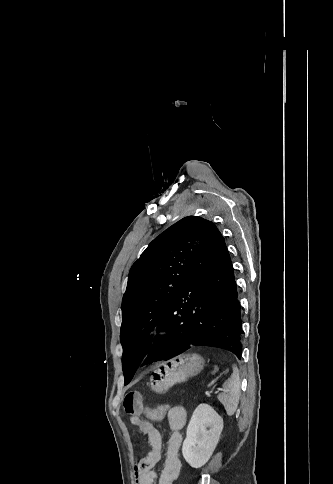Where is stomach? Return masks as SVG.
<instances>
[{"instance_id":"obj_1","label":"stomach","mask_w":333,"mask_h":484,"mask_svg":"<svg viewBox=\"0 0 333 484\" xmlns=\"http://www.w3.org/2000/svg\"><path fill=\"white\" fill-rule=\"evenodd\" d=\"M204 366L203 358L196 353H186L158 364L151 375V389L165 394L173 385L197 375Z\"/></svg>"}]
</instances>
